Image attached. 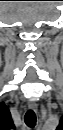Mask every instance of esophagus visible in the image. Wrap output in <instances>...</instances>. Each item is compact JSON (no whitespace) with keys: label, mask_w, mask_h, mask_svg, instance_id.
<instances>
[{"label":"esophagus","mask_w":63,"mask_h":130,"mask_svg":"<svg viewBox=\"0 0 63 130\" xmlns=\"http://www.w3.org/2000/svg\"><path fill=\"white\" fill-rule=\"evenodd\" d=\"M28 107L32 110H36L37 104L34 101H30V102H28Z\"/></svg>","instance_id":"esophagus-1"}]
</instances>
